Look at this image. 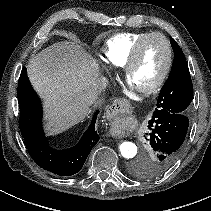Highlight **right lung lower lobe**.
Wrapping results in <instances>:
<instances>
[{"mask_svg": "<svg viewBox=\"0 0 211 211\" xmlns=\"http://www.w3.org/2000/svg\"><path fill=\"white\" fill-rule=\"evenodd\" d=\"M20 106L19 127L33 160L42 168L60 176H71L83 167L90 151L99 140L95 131L96 114L77 145L65 150L49 146L42 128V106L24 67L17 88Z\"/></svg>", "mask_w": 211, "mask_h": 211, "instance_id": "98d812e1", "label": "right lung lower lobe"}]
</instances>
